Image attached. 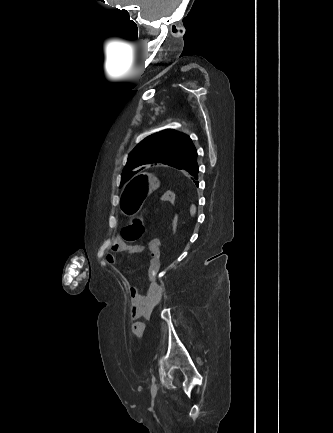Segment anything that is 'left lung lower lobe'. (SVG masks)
<instances>
[{
  "mask_svg": "<svg viewBox=\"0 0 333 433\" xmlns=\"http://www.w3.org/2000/svg\"><path fill=\"white\" fill-rule=\"evenodd\" d=\"M183 170L187 171L189 174H191L195 179H198V173H199V167L197 163V159L183 168Z\"/></svg>",
  "mask_w": 333,
  "mask_h": 433,
  "instance_id": "0a47b994",
  "label": "left lung lower lobe"
}]
</instances>
